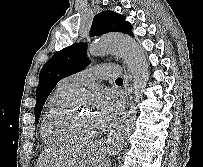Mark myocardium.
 Masks as SVG:
<instances>
[{
    "label": "myocardium",
    "mask_w": 203,
    "mask_h": 167,
    "mask_svg": "<svg viewBox=\"0 0 203 167\" xmlns=\"http://www.w3.org/2000/svg\"><path fill=\"white\" fill-rule=\"evenodd\" d=\"M84 94V92L76 91L69 99L65 107L56 115L53 120L54 130L70 142H87L95 139L101 133V130L99 129L98 131L91 134H79L75 132L71 126L73 112L75 110L77 101Z\"/></svg>",
    "instance_id": "myocardium-1"
}]
</instances>
